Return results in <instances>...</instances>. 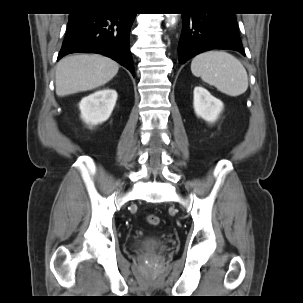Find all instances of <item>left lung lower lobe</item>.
Returning a JSON list of instances; mask_svg holds the SVG:
<instances>
[{"mask_svg": "<svg viewBox=\"0 0 303 303\" xmlns=\"http://www.w3.org/2000/svg\"><path fill=\"white\" fill-rule=\"evenodd\" d=\"M182 20L178 45L180 63L212 49H231L245 55L234 13L182 14Z\"/></svg>", "mask_w": 303, "mask_h": 303, "instance_id": "0a47b994", "label": "left lung lower lobe"}]
</instances>
